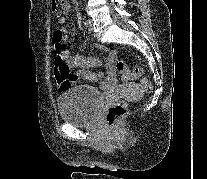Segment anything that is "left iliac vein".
I'll list each match as a JSON object with an SVG mask.
<instances>
[{
  "label": "left iliac vein",
  "mask_w": 207,
  "mask_h": 179,
  "mask_svg": "<svg viewBox=\"0 0 207 179\" xmlns=\"http://www.w3.org/2000/svg\"><path fill=\"white\" fill-rule=\"evenodd\" d=\"M87 21H88V29L90 32H92L93 31V22L91 19H88Z\"/></svg>",
  "instance_id": "1"
}]
</instances>
